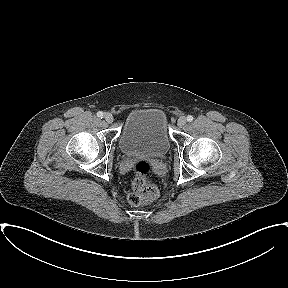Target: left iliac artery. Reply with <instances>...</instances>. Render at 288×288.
<instances>
[{"instance_id":"left-iliac-artery-1","label":"left iliac artery","mask_w":288,"mask_h":288,"mask_svg":"<svg viewBox=\"0 0 288 288\" xmlns=\"http://www.w3.org/2000/svg\"><path fill=\"white\" fill-rule=\"evenodd\" d=\"M193 119H194V118H193V116H192V115H188V116H187V121H188V122H192V121H193Z\"/></svg>"}]
</instances>
